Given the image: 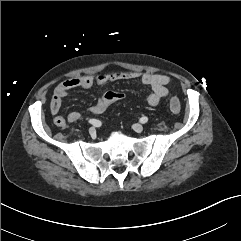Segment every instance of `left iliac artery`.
<instances>
[{
	"instance_id": "obj_1",
	"label": "left iliac artery",
	"mask_w": 241,
	"mask_h": 241,
	"mask_svg": "<svg viewBox=\"0 0 241 241\" xmlns=\"http://www.w3.org/2000/svg\"><path fill=\"white\" fill-rule=\"evenodd\" d=\"M140 122L141 123H147L148 122V117H146V116H143L141 119H140Z\"/></svg>"
}]
</instances>
